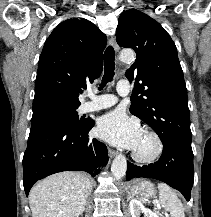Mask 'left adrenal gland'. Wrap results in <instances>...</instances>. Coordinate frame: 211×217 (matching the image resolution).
<instances>
[{"label": "left adrenal gland", "instance_id": "obj_1", "mask_svg": "<svg viewBox=\"0 0 211 217\" xmlns=\"http://www.w3.org/2000/svg\"><path fill=\"white\" fill-rule=\"evenodd\" d=\"M133 197H134V195L131 194V192L128 191V200H130V199L133 198Z\"/></svg>", "mask_w": 211, "mask_h": 217}]
</instances>
